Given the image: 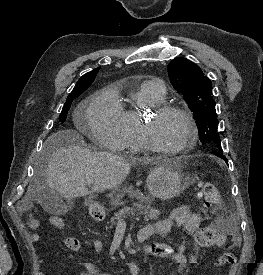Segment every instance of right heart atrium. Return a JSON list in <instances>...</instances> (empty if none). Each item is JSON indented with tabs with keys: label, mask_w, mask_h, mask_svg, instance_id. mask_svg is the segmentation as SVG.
I'll use <instances>...</instances> for the list:
<instances>
[{
	"label": "right heart atrium",
	"mask_w": 263,
	"mask_h": 275,
	"mask_svg": "<svg viewBox=\"0 0 263 275\" xmlns=\"http://www.w3.org/2000/svg\"><path fill=\"white\" fill-rule=\"evenodd\" d=\"M87 122L93 138L112 150L122 148L119 103L113 90L99 92L87 109Z\"/></svg>",
	"instance_id": "obj_1"
}]
</instances>
